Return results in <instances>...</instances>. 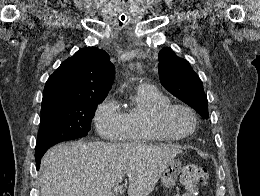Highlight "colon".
I'll use <instances>...</instances> for the list:
<instances>
[{"label": "colon", "instance_id": "colon-1", "mask_svg": "<svg viewBox=\"0 0 260 196\" xmlns=\"http://www.w3.org/2000/svg\"><path fill=\"white\" fill-rule=\"evenodd\" d=\"M208 174L204 167L196 164H186L180 171V181L192 191L196 186L204 185L207 182Z\"/></svg>", "mask_w": 260, "mask_h": 196}]
</instances>
